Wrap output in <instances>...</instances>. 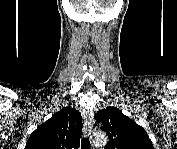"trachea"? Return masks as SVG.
I'll list each match as a JSON object with an SVG mask.
<instances>
[{
  "label": "trachea",
  "instance_id": "trachea-1",
  "mask_svg": "<svg viewBox=\"0 0 177 149\" xmlns=\"http://www.w3.org/2000/svg\"><path fill=\"white\" fill-rule=\"evenodd\" d=\"M81 149H90V141L88 138H82Z\"/></svg>",
  "mask_w": 177,
  "mask_h": 149
}]
</instances>
